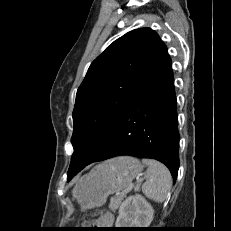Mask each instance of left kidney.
Masks as SVG:
<instances>
[{
	"label": "left kidney",
	"mask_w": 231,
	"mask_h": 231,
	"mask_svg": "<svg viewBox=\"0 0 231 231\" xmlns=\"http://www.w3.org/2000/svg\"><path fill=\"white\" fill-rule=\"evenodd\" d=\"M154 209L139 194L129 196L119 208L116 228H147L153 220Z\"/></svg>",
	"instance_id": "5707ae66"
}]
</instances>
